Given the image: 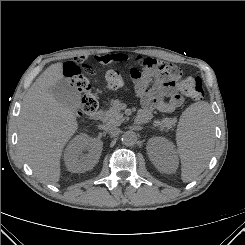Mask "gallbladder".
<instances>
[{"label":"gallbladder","mask_w":245,"mask_h":245,"mask_svg":"<svg viewBox=\"0 0 245 245\" xmlns=\"http://www.w3.org/2000/svg\"><path fill=\"white\" fill-rule=\"evenodd\" d=\"M50 90L55 99L69 109L75 111L81 107V94L68 79L59 80Z\"/></svg>","instance_id":"gallbladder-1"}]
</instances>
